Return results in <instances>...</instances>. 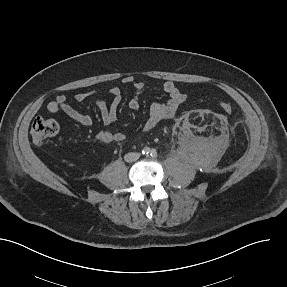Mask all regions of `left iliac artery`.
I'll list each match as a JSON object with an SVG mask.
<instances>
[{
	"label": "left iliac artery",
	"mask_w": 287,
	"mask_h": 287,
	"mask_svg": "<svg viewBox=\"0 0 287 287\" xmlns=\"http://www.w3.org/2000/svg\"><path fill=\"white\" fill-rule=\"evenodd\" d=\"M150 156L155 158L157 156V151L155 149H152L150 152Z\"/></svg>",
	"instance_id": "left-iliac-artery-1"
}]
</instances>
